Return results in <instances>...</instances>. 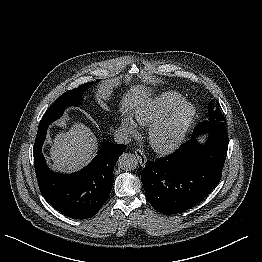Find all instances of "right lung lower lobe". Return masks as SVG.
Here are the masks:
<instances>
[{
  "label": "right lung lower lobe",
  "instance_id": "98d812e1",
  "mask_svg": "<svg viewBox=\"0 0 262 262\" xmlns=\"http://www.w3.org/2000/svg\"><path fill=\"white\" fill-rule=\"evenodd\" d=\"M52 122H40L33 148L40 191L54 209L70 218L93 217L108 199L114 182V166L126 145L104 141L88 166L73 174H56L49 170L41 151Z\"/></svg>",
  "mask_w": 262,
  "mask_h": 262
}]
</instances>
